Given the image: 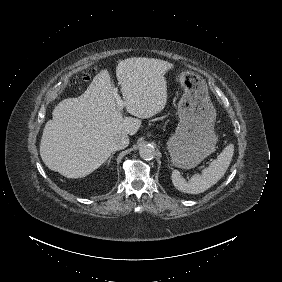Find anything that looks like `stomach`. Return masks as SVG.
<instances>
[{"mask_svg": "<svg viewBox=\"0 0 282 282\" xmlns=\"http://www.w3.org/2000/svg\"><path fill=\"white\" fill-rule=\"evenodd\" d=\"M177 78L184 92L177 110L180 122L168 149L175 165L192 168L216 149L217 113L204 78L189 71H182Z\"/></svg>", "mask_w": 282, "mask_h": 282, "instance_id": "1", "label": "stomach"}]
</instances>
